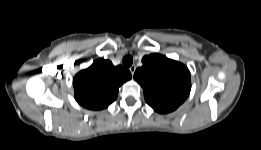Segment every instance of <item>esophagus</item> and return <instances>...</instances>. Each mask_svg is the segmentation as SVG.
I'll return each instance as SVG.
<instances>
[{
  "mask_svg": "<svg viewBox=\"0 0 261 150\" xmlns=\"http://www.w3.org/2000/svg\"><path fill=\"white\" fill-rule=\"evenodd\" d=\"M135 70H136V66L135 65H132L130 68H129V71L132 75H134L135 73Z\"/></svg>",
  "mask_w": 261,
  "mask_h": 150,
  "instance_id": "34e87169",
  "label": "esophagus"
}]
</instances>
